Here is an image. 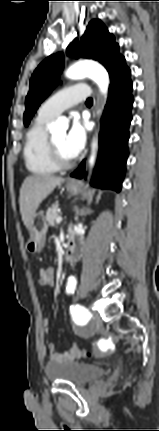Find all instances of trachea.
I'll return each mask as SVG.
<instances>
[{"label": "trachea", "mask_w": 159, "mask_h": 431, "mask_svg": "<svg viewBox=\"0 0 159 431\" xmlns=\"http://www.w3.org/2000/svg\"><path fill=\"white\" fill-rule=\"evenodd\" d=\"M92 103H93L92 98H88V99L86 100V104H92Z\"/></svg>", "instance_id": "trachea-1"}]
</instances>
